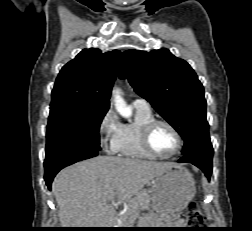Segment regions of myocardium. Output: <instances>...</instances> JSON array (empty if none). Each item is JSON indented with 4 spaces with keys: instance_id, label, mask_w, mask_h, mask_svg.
I'll return each mask as SVG.
<instances>
[{
    "instance_id": "myocardium-1",
    "label": "myocardium",
    "mask_w": 252,
    "mask_h": 231,
    "mask_svg": "<svg viewBox=\"0 0 252 231\" xmlns=\"http://www.w3.org/2000/svg\"><path fill=\"white\" fill-rule=\"evenodd\" d=\"M160 124L168 127L171 130V132L174 134V136L177 140V148L170 155H161V154L157 153L151 145L152 130L154 129L155 126L160 125ZM140 136H141V143H142V146L145 149V151L155 158L171 159V158L175 157L177 154H179V152L181 151V149L183 147V139H182L181 134L177 130V128L172 123H170L169 121L164 120V119H155L154 118V119L148 121L146 124L143 125V127L141 129Z\"/></svg>"
}]
</instances>
